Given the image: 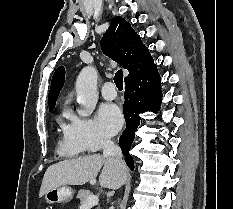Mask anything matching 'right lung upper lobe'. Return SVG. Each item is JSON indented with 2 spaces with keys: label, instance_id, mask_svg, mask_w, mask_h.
Masks as SVG:
<instances>
[{
  "label": "right lung upper lobe",
  "instance_id": "cb5924a9",
  "mask_svg": "<svg viewBox=\"0 0 233 209\" xmlns=\"http://www.w3.org/2000/svg\"><path fill=\"white\" fill-rule=\"evenodd\" d=\"M101 49L105 55L117 61L129 71V75L124 79L125 84L141 77L155 66L153 58L148 48L141 41L140 36L121 16H116L111 21L101 40ZM64 80L65 70L63 66H60L53 74L48 94L50 111H53L55 107Z\"/></svg>",
  "mask_w": 233,
  "mask_h": 209
}]
</instances>
